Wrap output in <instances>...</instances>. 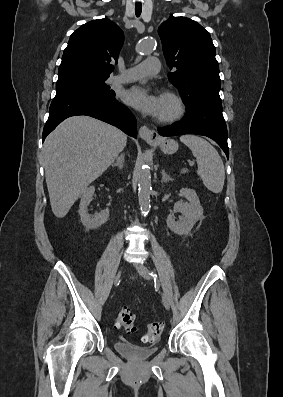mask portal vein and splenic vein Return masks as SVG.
Returning a JSON list of instances; mask_svg holds the SVG:
<instances>
[{"label": "portal vein and splenic vein", "instance_id": "18ae733b", "mask_svg": "<svg viewBox=\"0 0 283 397\" xmlns=\"http://www.w3.org/2000/svg\"><path fill=\"white\" fill-rule=\"evenodd\" d=\"M189 164H190V166H193V165H194V162L191 161V162H189Z\"/></svg>", "mask_w": 283, "mask_h": 397}]
</instances>
